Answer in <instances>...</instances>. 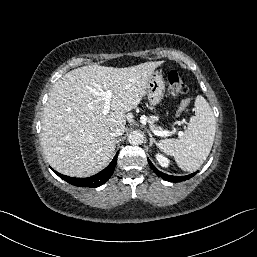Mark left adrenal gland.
<instances>
[{
    "mask_svg": "<svg viewBox=\"0 0 257 257\" xmlns=\"http://www.w3.org/2000/svg\"><path fill=\"white\" fill-rule=\"evenodd\" d=\"M148 134H149V139H150V146H152L153 144H156L157 145V142H156V140H155V138H153V136H152V134H151V132H149L148 131Z\"/></svg>",
    "mask_w": 257,
    "mask_h": 257,
    "instance_id": "left-adrenal-gland-1",
    "label": "left adrenal gland"
}]
</instances>
